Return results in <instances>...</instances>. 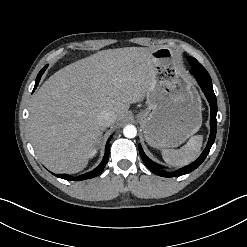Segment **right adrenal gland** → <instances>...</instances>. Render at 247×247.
Listing matches in <instances>:
<instances>
[{"label":"right adrenal gland","mask_w":247,"mask_h":247,"mask_svg":"<svg viewBox=\"0 0 247 247\" xmlns=\"http://www.w3.org/2000/svg\"><path fill=\"white\" fill-rule=\"evenodd\" d=\"M105 129H102V132H101V135H100V138H101V136H102V134H103V131H104Z\"/></svg>","instance_id":"right-adrenal-gland-1"}]
</instances>
